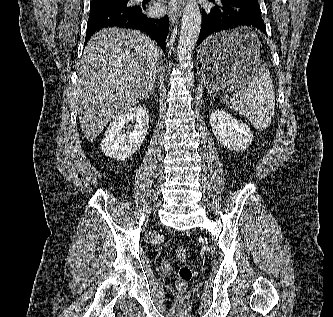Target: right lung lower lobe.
Segmentation results:
<instances>
[{"label": "right lung lower lobe", "mask_w": 333, "mask_h": 317, "mask_svg": "<svg viewBox=\"0 0 333 317\" xmlns=\"http://www.w3.org/2000/svg\"><path fill=\"white\" fill-rule=\"evenodd\" d=\"M138 6H105L90 9L87 22L85 43L99 29L106 27H123L145 32L165 51L166 37L169 31L168 16L155 19L148 18Z\"/></svg>", "instance_id": "98d812e1"}]
</instances>
